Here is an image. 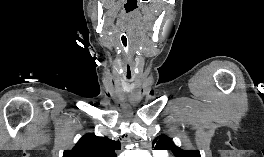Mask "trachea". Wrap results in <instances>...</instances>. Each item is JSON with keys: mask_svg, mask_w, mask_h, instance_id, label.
Here are the masks:
<instances>
[{"mask_svg": "<svg viewBox=\"0 0 264 157\" xmlns=\"http://www.w3.org/2000/svg\"><path fill=\"white\" fill-rule=\"evenodd\" d=\"M124 54H125V75L128 80L132 78V69L130 65V55H129V47L125 43L124 44Z\"/></svg>", "mask_w": 264, "mask_h": 157, "instance_id": "1", "label": "trachea"}]
</instances>
